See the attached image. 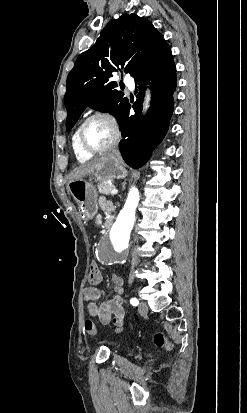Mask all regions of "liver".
<instances>
[{"instance_id":"liver-1","label":"liver","mask_w":247,"mask_h":413,"mask_svg":"<svg viewBox=\"0 0 247 413\" xmlns=\"http://www.w3.org/2000/svg\"><path fill=\"white\" fill-rule=\"evenodd\" d=\"M104 156L102 158H97L96 162H87V164H80V166H76L74 170H71L69 174V182L71 180H78V178H83L86 174H91L94 172L95 168H97L98 164L102 162Z\"/></svg>"}]
</instances>
